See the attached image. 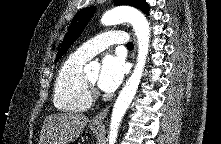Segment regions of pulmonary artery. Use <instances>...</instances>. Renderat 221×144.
Segmentation results:
<instances>
[{"label": "pulmonary artery", "instance_id": "obj_1", "mask_svg": "<svg viewBox=\"0 0 221 144\" xmlns=\"http://www.w3.org/2000/svg\"><path fill=\"white\" fill-rule=\"evenodd\" d=\"M128 41L127 33L123 31H108L97 35L81 45L75 53L89 60L94 55L102 52L110 45L125 44Z\"/></svg>", "mask_w": 221, "mask_h": 144}]
</instances>
